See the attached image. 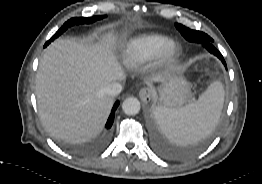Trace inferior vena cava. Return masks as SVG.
<instances>
[{
	"mask_svg": "<svg viewBox=\"0 0 262 184\" xmlns=\"http://www.w3.org/2000/svg\"><path fill=\"white\" fill-rule=\"evenodd\" d=\"M122 91V86L118 82L110 83L106 88L105 92L110 96H116Z\"/></svg>",
	"mask_w": 262,
	"mask_h": 184,
	"instance_id": "1",
	"label": "inferior vena cava"
}]
</instances>
